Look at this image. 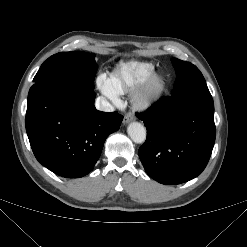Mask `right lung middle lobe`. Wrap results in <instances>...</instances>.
Segmentation results:
<instances>
[{
  "mask_svg": "<svg viewBox=\"0 0 247 247\" xmlns=\"http://www.w3.org/2000/svg\"><path fill=\"white\" fill-rule=\"evenodd\" d=\"M94 58V54L81 51L52 55L41 65L34 83L60 82L93 90L98 69Z\"/></svg>",
  "mask_w": 247,
  "mask_h": 247,
  "instance_id": "1",
  "label": "right lung middle lobe"
}]
</instances>
